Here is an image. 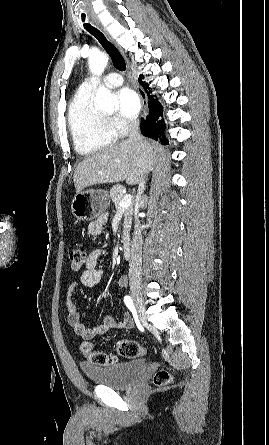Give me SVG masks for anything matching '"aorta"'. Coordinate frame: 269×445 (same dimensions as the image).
<instances>
[{"instance_id":"aorta-1","label":"aorta","mask_w":269,"mask_h":445,"mask_svg":"<svg viewBox=\"0 0 269 445\" xmlns=\"http://www.w3.org/2000/svg\"><path fill=\"white\" fill-rule=\"evenodd\" d=\"M88 63L90 71L94 75L100 76L108 64V56L104 53L91 54ZM94 106L99 111L113 112L119 108V103L109 89L99 86L94 99Z\"/></svg>"}]
</instances>
